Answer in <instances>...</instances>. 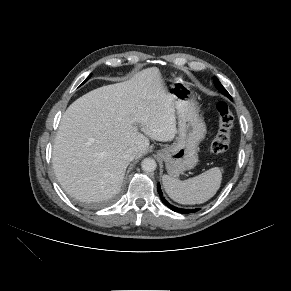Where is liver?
Here are the masks:
<instances>
[{"label": "liver", "instance_id": "6515ba94", "mask_svg": "<svg viewBox=\"0 0 291 291\" xmlns=\"http://www.w3.org/2000/svg\"><path fill=\"white\" fill-rule=\"evenodd\" d=\"M141 129V132L139 131ZM175 105L161 72L151 67L128 81L102 86L74 101L62 116L53 147V168L62 188L81 201H102L121 188L128 160L149 148L148 137L172 141Z\"/></svg>", "mask_w": 291, "mask_h": 291}]
</instances>
